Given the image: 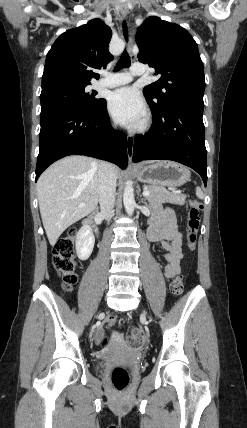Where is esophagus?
<instances>
[{"label":"esophagus","instance_id":"esophagus-1","mask_svg":"<svg viewBox=\"0 0 247 428\" xmlns=\"http://www.w3.org/2000/svg\"><path fill=\"white\" fill-rule=\"evenodd\" d=\"M121 14L122 17L125 18L128 14V8L126 6H123L121 8ZM131 60L134 59L133 55L131 54V46L129 45L127 48ZM126 149H127V155H128V160H129V164H132V158H133V151H134V137L132 135H127L126 138Z\"/></svg>","mask_w":247,"mask_h":428}]
</instances>
